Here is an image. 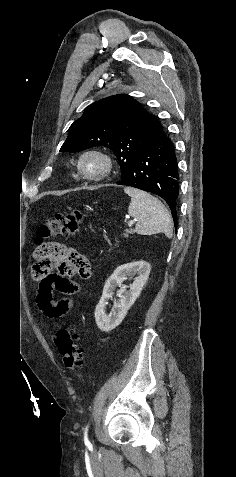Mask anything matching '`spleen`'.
Returning a JSON list of instances; mask_svg holds the SVG:
<instances>
[{"label": "spleen", "instance_id": "1", "mask_svg": "<svg viewBox=\"0 0 236 477\" xmlns=\"http://www.w3.org/2000/svg\"><path fill=\"white\" fill-rule=\"evenodd\" d=\"M124 191L131 197L128 213L137 221L135 231L141 235L164 233L172 237L173 224L171 216L160 200L151 194L130 187Z\"/></svg>", "mask_w": 236, "mask_h": 477}]
</instances>
